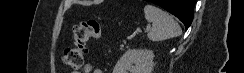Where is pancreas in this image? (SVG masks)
I'll return each mask as SVG.
<instances>
[{"label":"pancreas","mask_w":244,"mask_h":73,"mask_svg":"<svg viewBox=\"0 0 244 73\" xmlns=\"http://www.w3.org/2000/svg\"><path fill=\"white\" fill-rule=\"evenodd\" d=\"M120 50H124V45H121L120 46Z\"/></svg>","instance_id":"1"}]
</instances>
